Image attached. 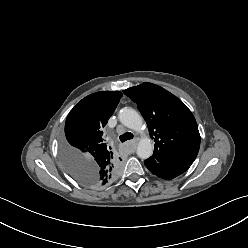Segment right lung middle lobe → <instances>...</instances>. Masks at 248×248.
I'll list each match as a JSON object with an SVG mask.
<instances>
[{
	"label": "right lung middle lobe",
	"instance_id": "obj_1",
	"mask_svg": "<svg viewBox=\"0 0 248 248\" xmlns=\"http://www.w3.org/2000/svg\"><path fill=\"white\" fill-rule=\"evenodd\" d=\"M66 143H63V147ZM62 150V149H61ZM66 170L69 174L78 182L89 185L88 179L92 178L91 172L86 165H84L79 159L73 163H69L65 159L62 160Z\"/></svg>",
	"mask_w": 248,
	"mask_h": 248
}]
</instances>
